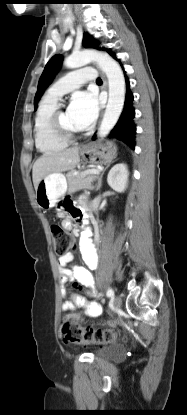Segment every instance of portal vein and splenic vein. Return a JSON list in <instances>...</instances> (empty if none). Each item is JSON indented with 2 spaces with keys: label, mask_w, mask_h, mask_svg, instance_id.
I'll list each match as a JSON object with an SVG mask.
<instances>
[{
  "label": "portal vein and splenic vein",
  "mask_w": 187,
  "mask_h": 415,
  "mask_svg": "<svg viewBox=\"0 0 187 415\" xmlns=\"http://www.w3.org/2000/svg\"><path fill=\"white\" fill-rule=\"evenodd\" d=\"M83 174L84 175H86V174H99V170H97V169H89V170H86Z\"/></svg>",
  "instance_id": "1"
}]
</instances>
